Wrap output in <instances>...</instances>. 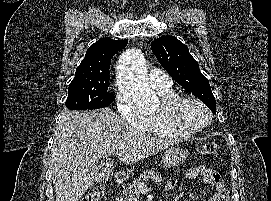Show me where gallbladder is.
<instances>
[{
	"label": "gallbladder",
	"mask_w": 271,
	"mask_h": 201,
	"mask_svg": "<svg viewBox=\"0 0 271 201\" xmlns=\"http://www.w3.org/2000/svg\"><path fill=\"white\" fill-rule=\"evenodd\" d=\"M94 180L96 182H104L112 177V163L111 162H100L91 169Z\"/></svg>",
	"instance_id": "bac80fb5"
}]
</instances>
